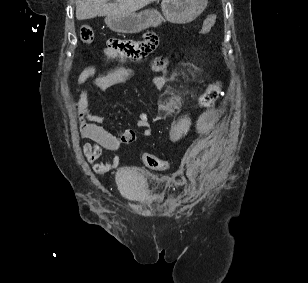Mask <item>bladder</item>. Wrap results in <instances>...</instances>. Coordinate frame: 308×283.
<instances>
[{
  "mask_svg": "<svg viewBox=\"0 0 308 283\" xmlns=\"http://www.w3.org/2000/svg\"><path fill=\"white\" fill-rule=\"evenodd\" d=\"M117 179L120 190L127 198L132 200L142 198L145 180L141 174L130 170H120Z\"/></svg>",
  "mask_w": 308,
  "mask_h": 283,
  "instance_id": "obj_1",
  "label": "bladder"
}]
</instances>
